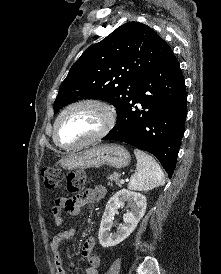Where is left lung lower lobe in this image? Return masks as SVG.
Listing matches in <instances>:
<instances>
[{"mask_svg": "<svg viewBox=\"0 0 221 274\" xmlns=\"http://www.w3.org/2000/svg\"><path fill=\"white\" fill-rule=\"evenodd\" d=\"M186 103L184 77L169 49L140 78L135 96L118 111L116 125L103 140L125 142L150 152L171 178L185 131Z\"/></svg>", "mask_w": 221, "mask_h": 274, "instance_id": "1", "label": "left lung lower lobe"}]
</instances>
